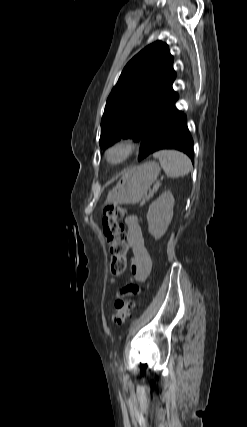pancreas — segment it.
I'll list each match as a JSON object with an SVG mask.
<instances>
[{"label": "pancreas", "mask_w": 247, "mask_h": 427, "mask_svg": "<svg viewBox=\"0 0 247 427\" xmlns=\"http://www.w3.org/2000/svg\"><path fill=\"white\" fill-rule=\"evenodd\" d=\"M157 187H158V185L156 184V185L154 186L153 190H152V191H150L148 195H146L145 200H149V199L153 196V194H154V193L156 192V190H157Z\"/></svg>", "instance_id": "pancreas-1"}]
</instances>
